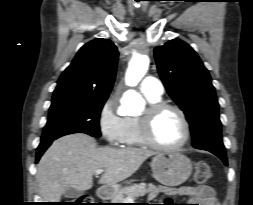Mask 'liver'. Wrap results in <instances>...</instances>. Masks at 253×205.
I'll list each match as a JSON object with an SVG mask.
<instances>
[{
  "mask_svg": "<svg viewBox=\"0 0 253 205\" xmlns=\"http://www.w3.org/2000/svg\"><path fill=\"white\" fill-rule=\"evenodd\" d=\"M155 153L142 148H98L84 133L63 136L52 143L37 166L36 179L45 202H59L67 188L79 191L93 186V175L104 170L98 183L116 185L136 172Z\"/></svg>",
  "mask_w": 253,
  "mask_h": 205,
  "instance_id": "1",
  "label": "liver"
}]
</instances>
